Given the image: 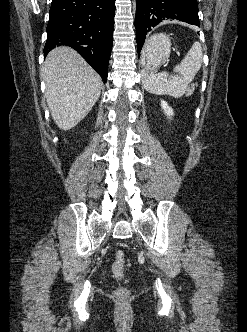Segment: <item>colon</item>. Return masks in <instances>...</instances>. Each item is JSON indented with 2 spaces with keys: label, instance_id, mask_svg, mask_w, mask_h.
Wrapping results in <instances>:
<instances>
[{
  "label": "colon",
  "instance_id": "colon-1",
  "mask_svg": "<svg viewBox=\"0 0 247 332\" xmlns=\"http://www.w3.org/2000/svg\"><path fill=\"white\" fill-rule=\"evenodd\" d=\"M124 267H125V254L122 250H117L114 256L112 270L115 277L118 280L124 279V273H123ZM114 295L117 299L121 301H126L130 297V291L127 287L120 285L115 289Z\"/></svg>",
  "mask_w": 247,
  "mask_h": 332
}]
</instances>
